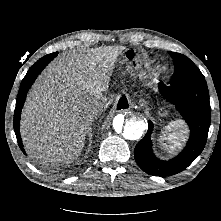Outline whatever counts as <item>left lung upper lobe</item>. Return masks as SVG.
I'll use <instances>...</instances> for the list:
<instances>
[{
	"instance_id": "1",
	"label": "left lung upper lobe",
	"mask_w": 221,
	"mask_h": 221,
	"mask_svg": "<svg viewBox=\"0 0 221 221\" xmlns=\"http://www.w3.org/2000/svg\"><path fill=\"white\" fill-rule=\"evenodd\" d=\"M169 54L173 59L175 67V72L172 76L170 84H175L187 80L204 79L201 71L188 57L171 51Z\"/></svg>"
}]
</instances>
